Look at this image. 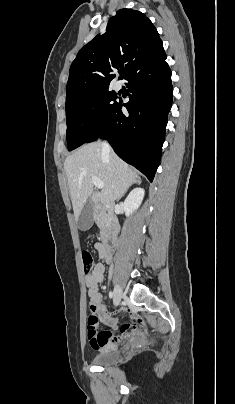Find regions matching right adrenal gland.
Listing matches in <instances>:
<instances>
[{
	"label": "right adrenal gland",
	"instance_id": "right-adrenal-gland-1",
	"mask_svg": "<svg viewBox=\"0 0 235 404\" xmlns=\"http://www.w3.org/2000/svg\"><path fill=\"white\" fill-rule=\"evenodd\" d=\"M136 183H137V184H140V183H141L140 179H138V180L136 181Z\"/></svg>",
	"mask_w": 235,
	"mask_h": 404
}]
</instances>
